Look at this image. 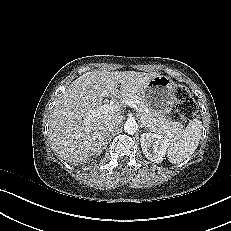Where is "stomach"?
I'll list each match as a JSON object with an SVG mask.
<instances>
[{
  "mask_svg": "<svg viewBox=\"0 0 231 231\" xmlns=\"http://www.w3.org/2000/svg\"><path fill=\"white\" fill-rule=\"evenodd\" d=\"M139 95L150 110L166 115L171 112L175 103V84L169 77L157 75Z\"/></svg>",
  "mask_w": 231,
  "mask_h": 231,
  "instance_id": "1",
  "label": "stomach"
}]
</instances>
